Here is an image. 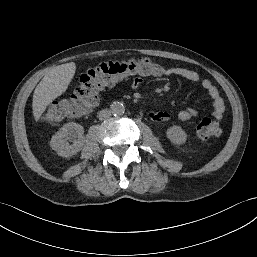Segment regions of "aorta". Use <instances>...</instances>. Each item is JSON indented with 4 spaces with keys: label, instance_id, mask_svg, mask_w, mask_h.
I'll use <instances>...</instances> for the list:
<instances>
[{
    "label": "aorta",
    "instance_id": "1",
    "mask_svg": "<svg viewBox=\"0 0 257 257\" xmlns=\"http://www.w3.org/2000/svg\"><path fill=\"white\" fill-rule=\"evenodd\" d=\"M110 110L114 115H122L125 111L124 105L121 102H114L110 106Z\"/></svg>",
    "mask_w": 257,
    "mask_h": 257
}]
</instances>
